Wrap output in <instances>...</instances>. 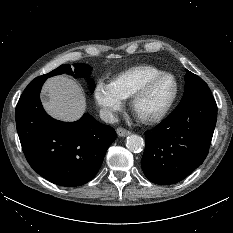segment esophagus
<instances>
[{
  "label": "esophagus",
  "mask_w": 233,
  "mask_h": 233,
  "mask_svg": "<svg viewBox=\"0 0 233 233\" xmlns=\"http://www.w3.org/2000/svg\"><path fill=\"white\" fill-rule=\"evenodd\" d=\"M116 132H117L118 136H120V137H126V136L131 134L130 131H128V130L122 128V127H118L116 129Z\"/></svg>",
  "instance_id": "esophagus-1"
}]
</instances>
